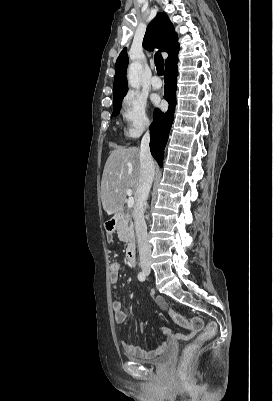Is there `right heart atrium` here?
Here are the masks:
<instances>
[{
  "label": "right heart atrium",
  "mask_w": 273,
  "mask_h": 401,
  "mask_svg": "<svg viewBox=\"0 0 273 401\" xmlns=\"http://www.w3.org/2000/svg\"><path fill=\"white\" fill-rule=\"evenodd\" d=\"M121 113L126 123L124 128L126 138L137 139L150 129L151 121L146 112V104L139 97L133 94L127 95Z\"/></svg>",
  "instance_id": "1"
}]
</instances>
